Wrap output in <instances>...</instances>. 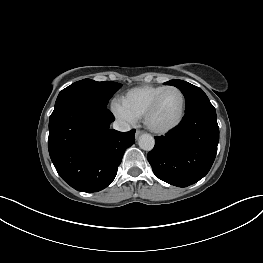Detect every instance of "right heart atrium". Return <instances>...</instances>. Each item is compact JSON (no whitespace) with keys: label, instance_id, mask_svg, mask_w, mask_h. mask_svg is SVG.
<instances>
[{"label":"right heart atrium","instance_id":"obj_1","mask_svg":"<svg viewBox=\"0 0 263 263\" xmlns=\"http://www.w3.org/2000/svg\"><path fill=\"white\" fill-rule=\"evenodd\" d=\"M112 112L116 116V118L127 124H133L137 120V118L126 111L119 102L112 103Z\"/></svg>","mask_w":263,"mask_h":263}]
</instances>
